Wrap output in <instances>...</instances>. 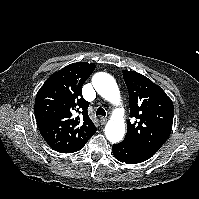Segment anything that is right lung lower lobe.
Returning <instances> with one entry per match:
<instances>
[{
    "label": "right lung lower lobe",
    "instance_id": "right-lung-lower-lobe-1",
    "mask_svg": "<svg viewBox=\"0 0 199 199\" xmlns=\"http://www.w3.org/2000/svg\"><path fill=\"white\" fill-rule=\"evenodd\" d=\"M85 144L86 143H84V144H82V145H80V146H78V147H76V148H74L72 150H68V151H58V150H56V151L57 152H61V153H73V152H76V151L82 149Z\"/></svg>",
    "mask_w": 199,
    "mask_h": 199
}]
</instances>
